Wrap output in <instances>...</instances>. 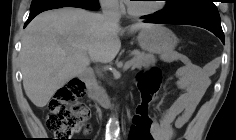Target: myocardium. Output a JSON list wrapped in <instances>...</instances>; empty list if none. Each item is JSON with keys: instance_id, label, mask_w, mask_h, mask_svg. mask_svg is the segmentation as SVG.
Listing matches in <instances>:
<instances>
[{"instance_id": "obj_1", "label": "myocardium", "mask_w": 236, "mask_h": 140, "mask_svg": "<svg viewBox=\"0 0 236 140\" xmlns=\"http://www.w3.org/2000/svg\"><path fill=\"white\" fill-rule=\"evenodd\" d=\"M165 7V4L163 1H161V3L157 4L154 8L152 9H148V10H137L134 9L131 5V2H128L127 4V11L130 15L134 16V17H147L153 14L158 13L159 11H161L163 8Z\"/></svg>"}]
</instances>
